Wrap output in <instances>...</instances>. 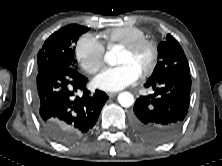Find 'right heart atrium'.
Instances as JSON below:
<instances>
[{"instance_id":"obj_1","label":"right heart atrium","mask_w":222,"mask_h":166,"mask_svg":"<svg viewBox=\"0 0 222 166\" xmlns=\"http://www.w3.org/2000/svg\"><path fill=\"white\" fill-rule=\"evenodd\" d=\"M104 53L103 43L93 34L82 35L74 49L77 63L88 74H94L102 67Z\"/></svg>"}]
</instances>
